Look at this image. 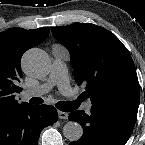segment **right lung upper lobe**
I'll return each instance as SVG.
<instances>
[{
    "label": "right lung upper lobe",
    "mask_w": 145,
    "mask_h": 145,
    "mask_svg": "<svg viewBox=\"0 0 145 145\" xmlns=\"http://www.w3.org/2000/svg\"><path fill=\"white\" fill-rule=\"evenodd\" d=\"M49 32V28L44 27L11 28L0 33V116L28 105L15 100V93L22 90L20 60L25 51L43 42Z\"/></svg>",
    "instance_id": "obj_1"
}]
</instances>
